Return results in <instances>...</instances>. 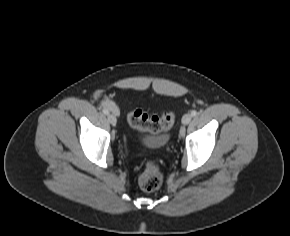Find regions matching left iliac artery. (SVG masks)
<instances>
[{"label":"left iliac artery","mask_w":290,"mask_h":236,"mask_svg":"<svg viewBox=\"0 0 290 236\" xmlns=\"http://www.w3.org/2000/svg\"><path fill=\"white\" fill-rule=\"evenodd\" d=\"M191 115L192 116H196L197 115V111L196 110L191 111Z\"/></svg>","instance_id":"left-iliac-artery-1"}]
</instances>
